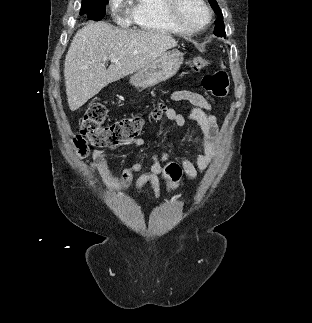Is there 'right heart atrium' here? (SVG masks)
<instances>
[{
	"instance_id": "obj_1",
	"label": "right heart atrium",
	"mask_w": 312,
	"mask_h": 323,
	"mask_svg": "<svg viewBox=\"0 0 312 323\" xmlns=\"http://www.w3.org/2000/svg\"><path fill=\"white\" fill-rule=\"evenodd\" d=\"M107 5H116V0H107Z\"/></svg>"
}]
</instances>
